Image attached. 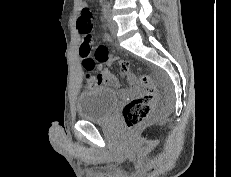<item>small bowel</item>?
Returning <instances> with one entry per match:
<instances>
[{
	"mask_svg": "<svg viewBox=\"0 0 231 177\" xmlns=\"http://www.w3.org/2000/svg\"><path fill=\"white\" fill-rule=\"evenodd\" d=\"M81 11L85 8H88L87 4L85 2H81ZM109 65V62L101 63L99 65V73L97 75L98 80L97 84L99 85H107L116 89H119L121 87V83L118 80L116 76H114L107 68ZM127 81L129 85L131 86V91H135L138 86L137 78L135 75H128Z\"/></svg>",
	"mask_w": 231,
	"mask_h": 177,
	"instance_id": "c3829d8e",
	"label": "small bowel"
}]
</instances>
